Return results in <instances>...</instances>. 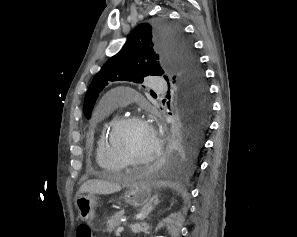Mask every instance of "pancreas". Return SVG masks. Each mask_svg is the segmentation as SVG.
Returning <instances> with one entry per match:
<instances>
[{"instance_id":"pancreas-1","label":"pancreas","mask_w":297,"mask_h":237,"mask_svg":"<svg viewBox=\"0 0 297 237\" xmlns=\"http://www.w3.org/2000/svg\"><path fill=\"white\" fill-rule=\"evenodd\" d=\"M124 212L120 211L115 213L106 223V232H113L116 228L121 225V218L123 217Z\"/></svg>"}]
</instances>
